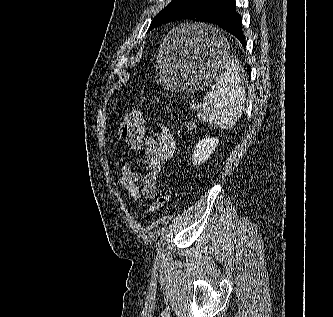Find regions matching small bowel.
<instances>
[{"mask_svg":"<svg viewBox=\"0 0 333 317\" xmlns=\"http://www.w3.org/2000/svg\"><path fill=\"white\" fill-rule=\"evenodd\" d=\"M120 137L133 149L142 151L143 170L135 171V163L121 160L118 165L119 182L134 201L153 198L158 191V177L173 157L175 137L163 123H157L155 138L147 135V123L138 109L127 112L119 124Z\"/></svg>","mask_w":333,"mask_h":317,"instance_id":"c3829d8e","label":"small bowel"}]
</instances>
